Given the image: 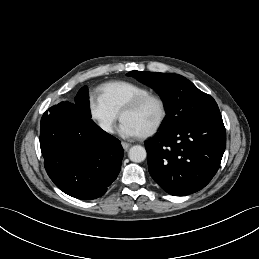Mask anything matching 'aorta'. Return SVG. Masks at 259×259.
Masks as SVG:
<instances>
[{"label": "aorta", "mask_w": 259, "mask_h": 259, "mask_svg": "<svg viewBox=\"0 0 259 259\" xmlns=\"http://www.w3.org/2000/svg\"><path fill=\"white\" fill-rule=\"evenodd\" d=\"M129 159L133 162L140 163L146 159V149L140 145L132 146L128 153Z\"/></svg>", "instance_id": "obj_1"}]
</instances>
